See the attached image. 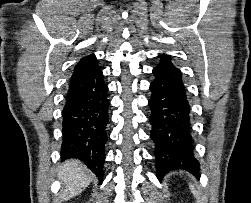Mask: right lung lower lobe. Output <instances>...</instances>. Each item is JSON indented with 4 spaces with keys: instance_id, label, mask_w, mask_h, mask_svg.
I'll return each instance as SVG.
<instances>
[{
    "instance_id": "1",
    "label": "right lung lower lobe",
    "mask_w": 251,
    "mask_h": 203,
    "mask_svg": "<svg viewBox=\"0 0 251 203\" xmlns=\"http://www.w3.org/2000/svg\"><path fill=\"white\" fill-rule=\"evenodd\" d=\"M107 92L97 65L70 81L62 111L61 158L81 160L100 182L109 121Z\"/></svg>"
}]
</instances>
